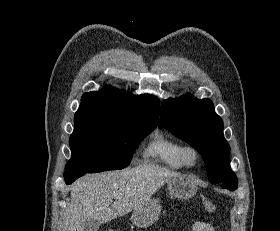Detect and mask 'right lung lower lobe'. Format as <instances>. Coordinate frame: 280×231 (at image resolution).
Instances as JSON below:
<instances>
[{"instance_id":"right-lung-lower-lobe-1","label":"right lung lower lobe","mask_w":280,"mask_h":231,"mask_svg":"<svg viewBox=\"0 0 280 231\" xmlns=\"http://www.w3.org/2000/svg\"><path fill=\"white\" fill-rule=\"evenodd\" d=\"M84 174H86V173H84V172H65L64 179L67 184H71L77 178L83 176Z\"/></svg>"}]
</instances>
